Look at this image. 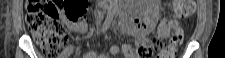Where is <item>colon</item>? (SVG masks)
<instances>
[{
	"label": "colon",
	"instance_id": "obj_1",
	"mask_svg": "<svg viewBox=\"0 0 225 58\" xmlns=\"http://www.w3.org/2000/svg\"><path fill=\"white\" fill-rule=\"evenodd\" d=\"M63 5L64 17L69 21H78L85 16L87 2L53 0H28L26 24L42 52L48 57L57 56L68 41L64 24L59 20L60 6ZM194 11L193 1L174 0L172 3L173 20L162 24L152 43H142L134 48L135 58H148L155 52L161 57L170 56L183 38V31L176 20L191 15Z\"/></svg>",
	"mask_w": 225,
	"mask_h": 58
}]
</instances>
